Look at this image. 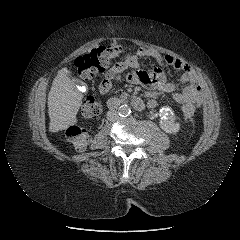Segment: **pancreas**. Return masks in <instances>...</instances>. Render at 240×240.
<instances>
[{
	"instance_id": "pancreas-1",
	"label": "pancreas",
	"mask_w": 240,
	"mask_h": 240,
	"mask_svg": "<svg viewBox=\"0 0 240 240\" xmlns=\"http://www.w3.org/2000/svg\"><path fill=\"white\" fill-rule=\"evenodd\" d=\"M120 97L123 98V99H126L128 97V94L127 93H122Z\"/></svg>"
}]
</instances>
